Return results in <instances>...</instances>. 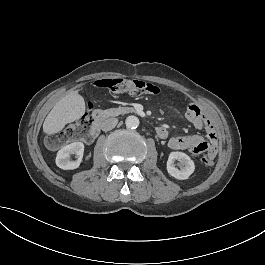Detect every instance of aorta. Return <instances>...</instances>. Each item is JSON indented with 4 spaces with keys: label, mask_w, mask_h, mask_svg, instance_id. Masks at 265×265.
<instances>
[{
    "label": "aorta",
    "mask_w": 265,
    "mask_h": 265,
    "mask_svg": "<svg viewBox=\"0 0 265 265\" xmlns=\"http://www.w3.org/2000/svg\"><path fill=\"white\" fill-rule=\"evenodd\" d=\"M139 123L138 117L134 115L128 116L125 120L126 127L130 129H136L139 126Z\"/></svg>",
    "instance_id": "762f6f07"
}]
</instances>
